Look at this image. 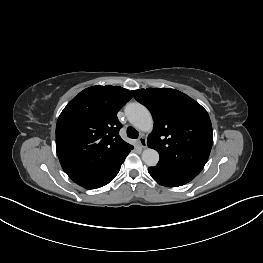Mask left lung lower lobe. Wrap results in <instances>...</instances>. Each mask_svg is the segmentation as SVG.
Masks as SVG:
<instances>
[{
	"label": "left lung lower lobe",
	"instance_id": "left-lung-lower-lobe-1",
	"mask_svg": "<svg viewBox=\"0 0 263 263\" xmlns=\"http://www.w3.org/2000/svg\"><path fill=\"white\" fill-rule=\"evenodd\" d=\"M148 172L158 184L168 187L181 186L195 178L193 175L172 171L158 165L149 167Z\"/></svg>",
	"mask_w": 263,
	"mask_h": 263
}]
</instances>
